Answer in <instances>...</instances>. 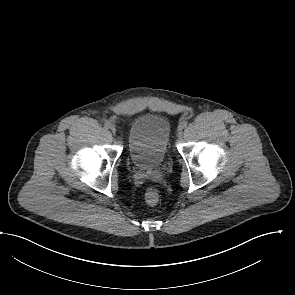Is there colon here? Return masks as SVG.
<instances>
[{
  "label": "colon",
  "instance_id": "colon-1",
  "mask_svg": "<svg viewBox=\"0 0 295 295\" xmlns=\"http://www.w3.org/2000/svg\"><path fill=\"white\" fill-rule=\"evenodd\" d=\"M145 200L149 205H155L159 201L158 191L154 188L147 189L145 193Z\"/></svg>",
  "mask_w": 295,
  "mask_h": 295
}]
</instances>
